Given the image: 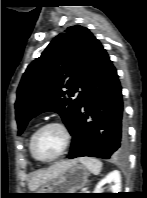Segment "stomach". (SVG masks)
Listing matches in <instances>:
<instances>
[{
    "instance_id": "1",
    "label": "stomach",
    "mask_w": 147,
    "mask_h": 198,
    "mask_svg": "<svg viewBox=\"0 0 147 198\" xmlns=\"http://www.w3.org/2000/svg\"><path fill=\"white\" fill-rule=\"evenodd\" d=\"M88 170L83 165L75 164L64 170L55 178L45 183L36 192L40 198H59L62 194L44 193H75L88 182Z\"/></svg>"
}]
</instances>
